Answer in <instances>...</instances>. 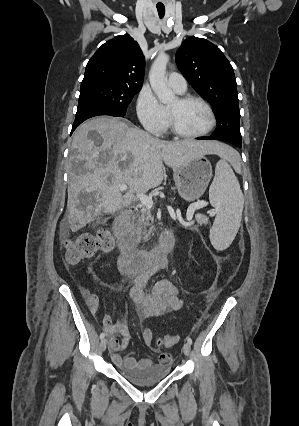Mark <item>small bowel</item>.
I'll list each match as a JSON object with an SVG mask.
<instances>
[{"mask_svg": "<svg viewBox=\"0 0 299 426\" xmlns=\"http://www.w3.org/2000/svg\"><path fill=\"white\" fill-rule=\"evenodd\" d=\"M169 260L166 257L160 258L151 265L133 275V286L130 290V297L136 306L137 313L142 318H152L162 316L170 311L181 308L183 302L179 297L178 288L169 280H160L154 284L151 290H147V283L151 276L158 270L166 268ZM104 330L109 339L111 359L118 368H144L155 366L150 359H136L132 353L122 357L120 351L127 348L130 343L128 327L123 322L115 323L110 314L103 318ZM116 333L122 335L118 339ZM143 339L147 346L153 351L158 349L152 346L153 332L150 328L143 330ZM171 363V355L163 352L160 354L158 364L167 366Z\"/></svg>", "mask_w": 299, "mask_h": 426, "instance_id": "obj_1", "label": "small bowel"}]
</instances>
